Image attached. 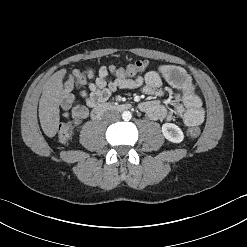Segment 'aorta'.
I'll list each match as a JSON object with an SVG mask.
<instances>
[{"label": "aorta", "mask_w": 247, "mask_h": 247, "mask_svg": "<svg viewBox=\"0 0 247 247\" xmlns=\"http://www.w3.org/2000/svg\"><path fill=\"white\" fill-rule=\"evenodd\" d=\"M132 118V115L129 111H124L122 113V119L125 121H129Z\"/></svg>", "instance_id": "1"}]
</instances>
